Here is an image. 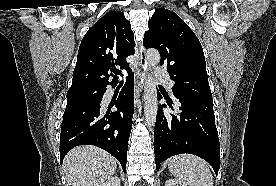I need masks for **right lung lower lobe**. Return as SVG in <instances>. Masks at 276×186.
<instances>
[{"mask_svg": "<svg viewBox=\"0 0 276 186\" xmlns=\"http://www.w3.org/2000/svg\"><path fill=\"white\" fill-rule=\"evenodd\" d=\"M131 72L118 98L117 111L102 114L101 101L106 87L98 97L67 105L61 123L60 161L75 146L89 144L114 156L126 171L128 140L132 128L134 83Z\"/></svg>", "mask_w": 276, "mask_h": 186, "instance_id": "1", "label": "right lung lower lobe"}]
</instances>
